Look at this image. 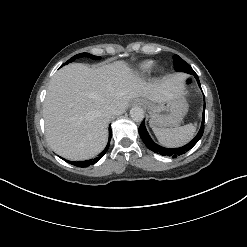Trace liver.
Wrapping results in <instances>:
<instances>
[{"instance_id":"1","label":"liver","mask_w":247,"mask_h":247,"mask_svg":"<svg viewBox=\"0 0 247 247\" xmlns=\"http://www.w3.org/2000/svg\"><path fill=\"white\" fill-rule=\"evenodd\" d=\"M183 90L181 76L145 82L122 61L96 68L69 64L52 77L47 89L43 104L47 141L66 159H90L106 146L107 108L122 113L132 99L162 102Z\"/></svg>"}]
</instances>
